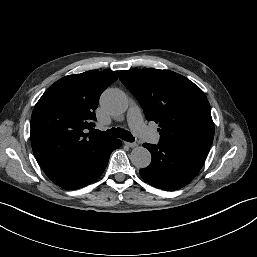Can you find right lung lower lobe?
Here are the masks:
<instances>
[{
	"instance_id": "98d812e1",
	"label": "right lung lower lobe",
	"mask_w": 257,
	"mask_h": 257,
	"mask_svg": "<svg viewBox=\"0 0 257 257\" xmlns=\"http://www.w3.org/2000/svg\"><path fill=\"white\" fill-rule=\"evenodd\" d=\"M121 146L118 139H110L99 149L78 161L46 172L47 177L65 189H77L95 181L105 170L111 152Z\"/></svg>"
}]
</instances>
